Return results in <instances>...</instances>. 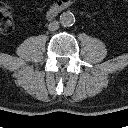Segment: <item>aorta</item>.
I'll use <instances>...</instances> for the list:
<instances>
[{
    "label": "aorta",
    "mask_w": 128,
    "mask_h": 128,
    "mask_svg": "<svg viewBox=\"0 0 128 128\" xmlns=\"http://www.w3.org/2000/svg\"><path fill=\"white\" fill-rule=\"evenodd\" d=\"M59 21H60L62 26L69 27V26H72L74 24L75 16L72 12L66 11L60 15Z\"/></svg>",
    "instance_id": "obj_1"
}]
</instances>
